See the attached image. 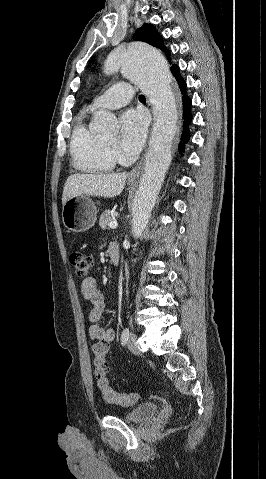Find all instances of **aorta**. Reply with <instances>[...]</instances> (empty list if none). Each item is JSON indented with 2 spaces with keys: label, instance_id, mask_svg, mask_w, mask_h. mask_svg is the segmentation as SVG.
Returning <instances> with one entry per match:
<instances>
[{
  "label": "aorta",
  "instance_id": "aorta-1",
  "mask_svg": "<svg viewBox=\"0 0 266 479\" xmlns=\"http://www.w3.org/2000/svg\"><path fill=\"white\" fill-rule=\"evenodd\" d=\"M118 69H122L124 75L145 93L153 105L154 113L149 150L131 202L132 234L134 238H139L148 225L171 163L178 110L172 89V75L167 61L158 50L142 42L117 47L107 57L104 71L112 74ZM92 128L99 133H113L117 131L118 124L113 114L100 111L94 116Z\"/></svg>",
  "mask_w": 266,
  "mask_h": 479
}]
</instances>
